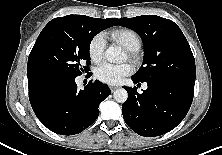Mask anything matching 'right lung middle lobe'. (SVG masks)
Returning <instances> with one entry per match:
<instances>
[{
  "instance_id": "1",
  "label": "right lung middle lobe",
  "mask_w": 222,
  "mask_h": 155,
  "mask_svg": "<svg viewBox=\"0 0 222 155\" xmlns=\"http://www.w3.org/2000/svg\"><path fill=\"white\" fill-rule=\"evenodd\" d=\"M114 25L108 20L85 15H67L51 20L31 50L27 74L51 84L88 72L93 37Z\"/></svg>"
}]
</instances>
